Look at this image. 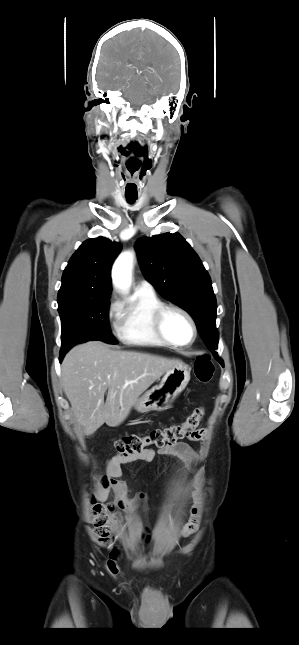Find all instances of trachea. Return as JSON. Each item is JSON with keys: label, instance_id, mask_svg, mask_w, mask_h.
<instances>
[{"label": "trachea", "instance_id": "3493384b", "mask_svg": "<svg viewBox=\"0 0 299 645\" xmlns=\"http://www.w3.org/2000/svg\"><path fill=\"white\" fill-rule=\"evenodd\" d=\"M126 199L129 203H134L137 199V196H126Z\"/></svg>", "mask_w": 299, "mask_h": 645}]
</instances>
